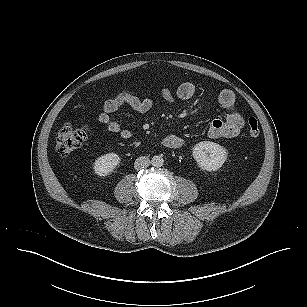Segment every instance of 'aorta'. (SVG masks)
I'll use <instances>...</instances> for the list:
<instances>
[{
    "label": "aorta",
    "mask_w": 307,
    "mask_h": 307,
    "mask_svg": "<svg viewBox=\"0 0 307 307\" xmlns=\"http://www.w3.org/2000/svg\"><path fill=\"white\" fill-rule=\"evenodd\" d=\"M151 164L152 166L157 167V168L162 167L164 164V159L161 155H155L153 156L151 160Z\"/></svg>",
    "instance_id": "1"
}]
</instances>
